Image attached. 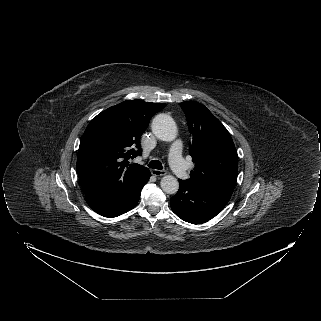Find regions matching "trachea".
I'll use <instances>...</instances> for the list:
<instances>
[{"label":"trachea","instance_id":"1","mask_svg":"<svg viewBox=\"0 0 321 321\" xmlns=\"http://www.w3.org/2000/svg\"><path fill=\"white\" fill-rule=\"evenodd\" d=\"M148 167L153 168V169H158V170L163 169L162 163L159 160L150 161L148 164Z\"/></svg>","mask_w":321,"mask_h":321}]
</instances>
